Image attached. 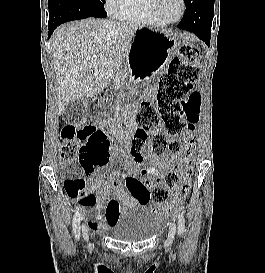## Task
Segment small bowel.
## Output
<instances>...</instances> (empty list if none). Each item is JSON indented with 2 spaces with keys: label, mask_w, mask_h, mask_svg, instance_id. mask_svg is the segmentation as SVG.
Returning a JSON list of instances; mask_svg holds the SVG:
<instances>
[{
  "label": "small bowel",
  "mask_w": 265,
  "mask_h": 273,
  "mask_svg": "<svg viewBox=\"0 0 265 273\" xmlns=\"http://www.w3.org/2000/svg\"><path fill=\"white\" fill-rule=\"evenodd\" d=\"M113 153L118 154L120 151L114 149ZM126 166H123L121 171L118 168L114 169L109 174L108 180L105 179L104 174L96 172L94 178L87 183L86 194L72 198L84 210L92 229L106 232L125 208L138 204H151V190L145 186L143 179L167 168L169 159L168 157H154L151 163L144 165L142 177H138V166L134 167L130 162H126ZM121 174V181L124 182V187L128 192L121 187ZM112 188L115 190V198H111ZM111 203L117 206L114 212L110 209ZM120 203H123V206H120ZM170 209L168 205L161 207L160 217L166 216Z\"/></svg>",
  "instance_id": "obj_1"
}]
</instances>
